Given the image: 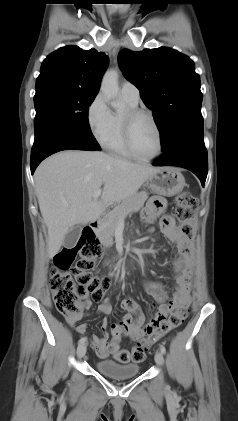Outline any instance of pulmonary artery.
Wrapping results in <instances>:
<instances>
[{
	"label": "pulmonary artery",
	"instance_id": "pulmonary-artery-1",
	"mask_svg": "<svg viewBox=\"0 0 238 421\" xmlns=\"http://www.w3.org/2000/svg\"><path fill=\"white\" fill-rule=\"evenodd\" d=\"M120 94L124 99L133 104H137L139 102V90L131 82L125 81L121 84Z\"/></svg>",
	"mask_w": 238,
	"mask_h": 421
}]
</instances>
